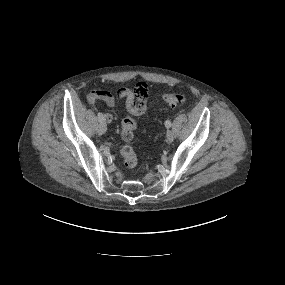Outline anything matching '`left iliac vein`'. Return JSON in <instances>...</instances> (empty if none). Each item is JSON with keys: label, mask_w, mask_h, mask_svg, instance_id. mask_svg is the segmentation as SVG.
I'll return each instance as SVG.
<instances>
[{"label": "left iliac vein", "mask_w": 285, "mask_h": 285, "mask_svg": "<svg viewBox=\"0 0 285 285\" xmlns=\"http://www.w3.org/2000/svg\"><path fill=\"white\" fill-rule=\"evenodd\" d=\"M166 138L170 142L173 141L174 140V133L172 131H167Z\"/></svg>", "instance_id": "1"}]
</instances>
